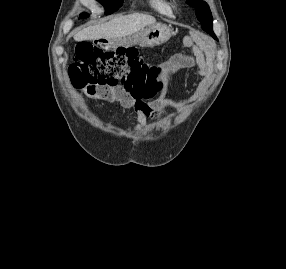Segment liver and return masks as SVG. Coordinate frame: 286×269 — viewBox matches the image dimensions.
Returning a JSON list of instances; mask_svg holds the SVG:
<instances>
[{
	"label": "liver",
	"mask_w": 286,
	"mask_h": 269,
	"mask_svg": "<svg viewBox=\"0 0 286 269\" xmlns=\"http://www.w3.org/2000/svg\"><path fill=\"white\" fill-rule=\"evenodd\" d=\"M156 23V19L151 15L133 13L119 16L107 23L97 24L82 29L74 35L75 41L98 40V39H118L130 36L146 26Z\"/></svg>",
	"instance_id": "6515ba94"
}]
</instances>
